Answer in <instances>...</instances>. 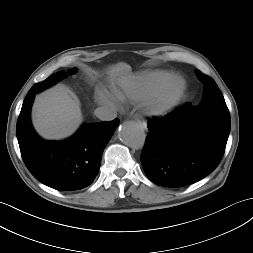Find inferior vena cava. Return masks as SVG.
Here are the masks:
<instances>
[{
    "label": "inferior vena cava",
    "instance_id": "602c4592",
    "mask_svg": "<svg viewBox=\"0 0 253 253\" xmlns=\"http://www.w3.org/2000/svg\"><path fill=\"white\" fill-rule=\"evenodd\" d=\"M94 114L102 121H111L117 117V113L115 111L105 107L95 109Z\"/></svg>",
    "mask_w": 253,
    "mask_h": 253
}]
</instances>
